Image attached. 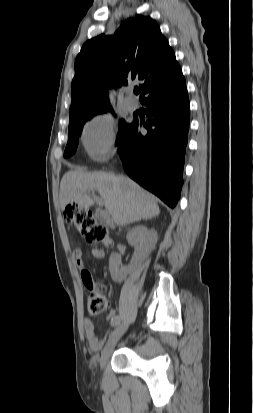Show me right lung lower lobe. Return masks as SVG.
Here are the masks:
<instances>
[{
    "label": "right lung lower lobe",
    "instance_id": "right-lung-lower-lobe-1",
    "mask_svg": "<svg viewBox=\"0 0 253 413\" xmlns=\"http://www.w3.org/2000/svg\"><path fill=\"white\" fill-rule=\"evenodd\" d=\"M145 135L133 121L118 144L126 173L174 208L180 198L182 172L190 123L186 86L175 93L148 98Z\"/></svg>",
    "mask_w": 253,
    "mask_h": 413
}]
</instances>
